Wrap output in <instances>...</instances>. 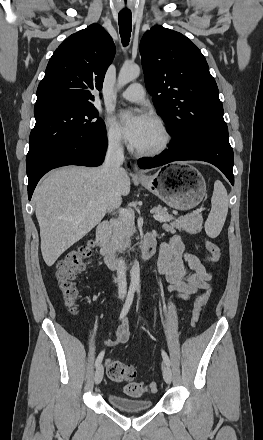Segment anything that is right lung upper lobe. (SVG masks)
<instances>
[{"mask_svg":"<svg viewBox=\"0 0 263 440\" xmlns=\"http://www.w3.org/2000/svg\"><path fill=\"white\" fill-rule=\"evenodd\" d=\"M115 55L111 36L92 24L69 36L49 60L37 89L35 108L59 104H92Z\"/></svg>","mask_w":263,"mask_h":440,"instance_id":"cb5924a9","label":"right lung upper lobe"}]
</instances>
